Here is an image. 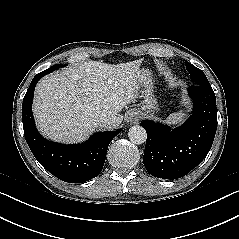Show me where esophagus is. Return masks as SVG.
I'll use <instances>...</instances> for the list:
<instances>
[{"mask_svg": "<svg viewBox=\"0 0 239 239\" xmlns=\"http://www.w3.org/2000/svg\"><path fill=\"white\" fill-rule=\"evenodd\" d=\"M139 113L132 111L129 113L128 117H127V122L130 124L136 123L139 120Z\"/></svg>", "mask_w": 239, "mask_h": 239, "instance_id": "obj_1", "label": "esophagus"}]
</instances>
